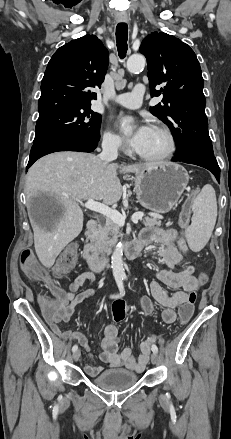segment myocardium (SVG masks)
Wrapping results in <instances>:
<instances>
[{
  "mask_svg": "<svg viewBox=\"0 0 231 439\" xmlns=\"http://www.w3.org/2000/svg\"><path fill=\"white\" fill-rule=\"evenodd\" d=\"M152 128H155V129L161 131L166 136L167 141H168L167 150L164 153H162L160 155H155V156L144 155V154H141L139 152H136V154L141 159L146 160V161H152V162L164 161V160L171 158L177 150V141H176V138H175L173 132L166 125L159 124V123L154 124L152 126Z\"/></svg>",
  "mask_w": 231,
  "mask_h": 439,
  "instance_id": "myocardium-1",
  "label": "myocardium"
}]
</instances>
